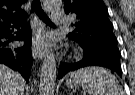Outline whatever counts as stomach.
I'll use <instances>...</instances> for the list:
<instances>
[{"mask_svg":"<svg viewBox=\"0 0 135 95\" xmlns=\"http://www.w3.org/2000/svg\"><path fill=\"white\" fill-rule=\"evenodd\" d=\"M66 84L69 88L73 89V88H77L79 83L78 81L75 79V78H71V79H68L66 81Z\"/></svg>","mask_w":135,"mask_h":95,"instance_id":"1","label":"stomach"}]
</instances>
